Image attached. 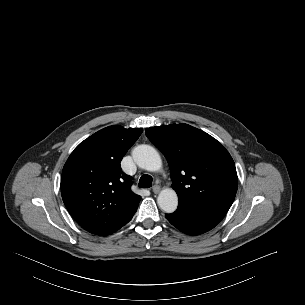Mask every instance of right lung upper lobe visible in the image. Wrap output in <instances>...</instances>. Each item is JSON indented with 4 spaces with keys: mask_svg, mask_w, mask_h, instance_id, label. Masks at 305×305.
Instances as JSON below:
<instances>
[{
    "mask_svg": "<svg viewBox=\"0 0 305 305\" xmlns=\"http://www.w3.org/2000/svg\"><path fill=\"white\" fill-rule=\"evenodd\" d=\"M142 128L106 127L81 142L61 177L63 202L71 216L92 234L104 235L129 220L141 199L120 162Z\"/></svg>",
    "mask_w": 305,
    "mask_h": 305,
    "instance_id": "1",
    "label": "right lung upper lobe"
}]
</instances>
